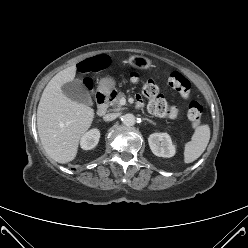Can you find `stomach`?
I'll return each instance as SVG.
<instances>
[{
    "instance_id": "obj_1",
    "label": "stomach",
    "mask_w": 248,
    "mask_h": 248,
    "mask_svg": "<svg viewBox=\"0 0 248 248\" xmlns=\"http://www.w3.org/2000/svg\"><path fill=\"white\" fill-rule=\"evenodd\" d=\"M127 63L131 67L138 70H147L153 66L152 62L148 58L138 55L129 56L127 59ZM114 89H115V80L112 77L103 78L99 82L98 91L102 94L105 95L110 94Z\"/></svg>"
}]
</instances>
